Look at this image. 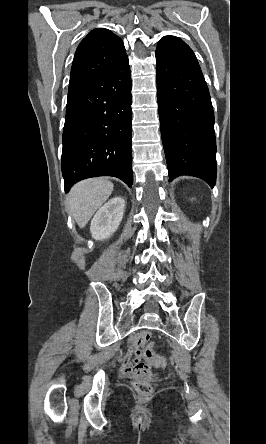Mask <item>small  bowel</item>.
I'll return each mask as SVG.
<instances>
[{"mask_svg": "<svg viewBox=\"0 0 266 444\" xmlns=\"http://www.w3.org/2000/svg\"><path fill=\"white\" fill-rule=\"evenodd\" d=\"M148 338V333L136 337L131 344V350L122 361L121 372L130 378L149 379L151 377L150 367L141 361V350L139 346Z\"/></svg>", "mask_w": 266, "mask_h": 444, "instance_id": "1", "label": "small bowel"}]
</instances>
